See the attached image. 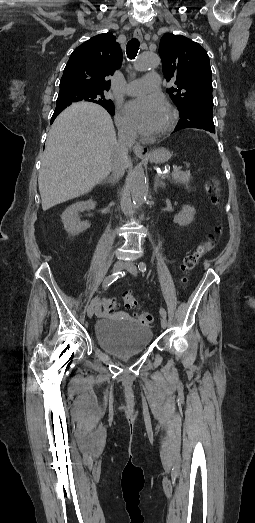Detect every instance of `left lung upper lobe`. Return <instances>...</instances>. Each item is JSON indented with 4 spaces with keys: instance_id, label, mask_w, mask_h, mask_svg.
Here are the masks:
<instances>
[{
    "instance_id": "5c2ea615",
    "label": "left lung upper lobe",
    "mask_w": 255,
    "mask_h": 523,
    "mask_svg": "<svg viewBox=\"0 0 255 523\" xmlns=\"http://www.w3.org/2000/svg\"><path fill=\"white\" fill-rule=\"evenodd\" d=\"M159 55L167 81L176 87L167 90L180 111V127H195L215 133L213 123L212 71L207 52L182 35L165 34Z\"/></svg>"
}]
</instances>
